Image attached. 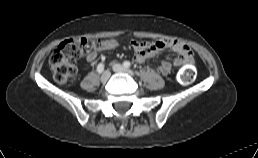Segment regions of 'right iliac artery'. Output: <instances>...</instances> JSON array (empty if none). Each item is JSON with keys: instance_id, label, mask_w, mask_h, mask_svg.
<instances>
[{"instance_id": "obj_1", "label": "right iliac artery", "mask_w": 258, "mask_h": 158, "mask_svg": "<svg viewBox=\"0 0 258 158\" xmlns=\"http://www.w3.org/2000/svg\"><path fill=\"white\" fill-rule=\"evenodd\" d=\"M103 71H104V64L99 63L98 66H97V72L102 73Z\"/></svg>"}]
</instances>
